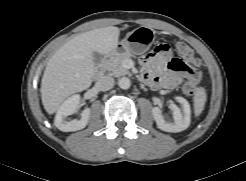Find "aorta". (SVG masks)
<instances>
[{"instance_id": "aorta-1", "label": "aorta", "mask_w": 246, "mask_h": 181, "mask_svg": "<svg viewBox=\"0 0 246 181\" xmlns=\"http://www.w3.org/2000/svg\"><path fill=\"white\" fill-rule=\"evenodd\" d=\"M118 86L121 88V89H129L130 86H131V81L129 78L127 77H122L118 80Z\"/></svg>"}]
</instances>
